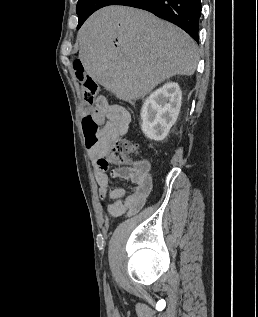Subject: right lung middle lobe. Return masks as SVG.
I'll list each match as a JSON object with an SVG mask.
<instances>
[{"label":"right lung middle lobe","instance_id":"obj_1","mask_svg":"<svg viewBox=\"0 0 258 317\" xmlns=\"http://www.w3.org/2000/svg\"><path fill=\"white\" fill-rule=\"evenodd\" d=\"M86 2V0H78L77 6H76V12L78 13L83 4Z\"/></svg>","mask_w":258,"mask_h":317}]
</instances>
